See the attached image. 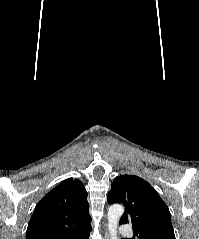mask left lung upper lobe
I'll return each instance as SVG.
<instances>
[{
	"label": "left lung upper lobe",
	"instance_id": "left-lung-upper-lobe-1",
	"mask_svg": "<svg viewBox=\"0 0 199 239\" xmlns=\"http://www.w3.org/2000/svg\"><path fill=\"white\" fill-rule=\"evenodd\" d=\"M107 201L125 207L120 224H132L139 239H175L168 207L151 185L140 177L117 176Z\"/></svg>",
	"mask_w": 199,
	"mask_h": 239
}]
</instances>
